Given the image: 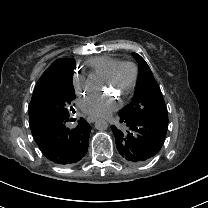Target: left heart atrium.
I'll return each mask as SVG.
<instances>
[{"instance_id": "obj_1", "label": "left heart atrium", "mask_w": 208, "mask_h": 208, "mask_svg": "<svg viewBox=\"0 0 208 208\" xmlns=\"http://www.w3.org/2000/svg\"><path fill=\"white\" fill-rule=\"evenodd\" d=\"M115 107L113 102L93 96H89L80 102V108L84 113L97 117L110 114Z\"/></svg>"}]
</instances>
